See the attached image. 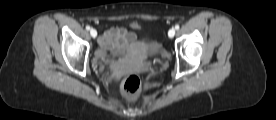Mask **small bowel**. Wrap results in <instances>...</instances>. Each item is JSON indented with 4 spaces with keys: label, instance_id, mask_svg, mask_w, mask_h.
I'll return each mask as SVG.
<instances>
[{
    "label": "small bowel",
    "instance_id": "small-bowel-1",
    "mask_svg": "<svg viewBox=\"0 0 276 120\" xmlns=\"http://www.w3.org/2000/svg\"><path fill=\"white\" fill-rule=\"evenodd\" d=\"M135 38V34L126 28L111 27L102 33L99 42L103 48L120 47L133 42Z\"/></svg>",
    "mask_w": 276,
    "mask_h": 120
}]
</instances>
